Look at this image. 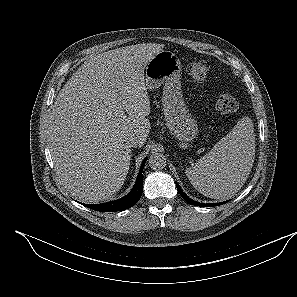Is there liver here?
<instances>
[{
    "label": "liver",
    "instance_id": "liver-1",
    "mask_svg": "<svg viewBox=\"0 0 297 297\" xmlns=\"http://www.w3.org/2000/svg\"><path fill=\"white\" fill-rule=\"evenodd\" d=\"M162 44H137L91 57L60 90L49 118V148L61 184L86 203L110 199L127 176L130 135L150 131L144 78Z\"/></svg>",
    "mask_w": 297,
    "mask_h": 297
}]
</instances>
